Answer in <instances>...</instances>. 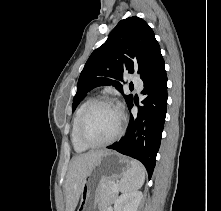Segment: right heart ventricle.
<instances>
[{"label": "right heart ventricle", "instance_id": "e07e8e85", "mask_svg": "<svg viewBox=\"0 0 221 211\" xmlns=\"http://www.w3.org/2000/svg\"><path fill=\"white\" fill-rule=\"evenodd\" d=\"M94 101L93 97H89L84 100L80 106L78 107L72 122V131H71V138L72 143L76 151L82 152L89 148V146L85 145L79 137V124L82 117L83 112L85 109Z\"/></svg>", "mask_w": 221, "mask_h": 211}]
</instances>
